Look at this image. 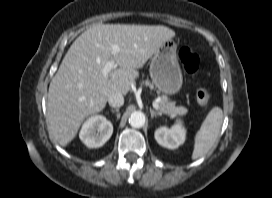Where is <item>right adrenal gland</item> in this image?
Listing matches in <instances>:
<instances>
[{"label":"right adrenal gland","instance_id":"2a0ac1e0","mask_svg":"<svg viewBox=\"0 0 272 198\" xmlns=\"http://www.w3.org/2000/svg\"><path fill=\"white\" fill-rule=\"evenodd\" d=\"M111 112H112V113H115V112L118 113V112H119V108L111 109Z\"/></svg>","mask_w":272,"mask_h":198}]
</instances>
